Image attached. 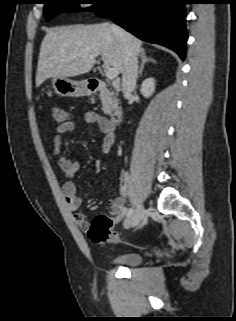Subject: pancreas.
I'll return each mask as SVG.
<instances>
[{
    "label": "pancreas",
    "instance_id": "1",
    "mask_svg": "<svg viewBox=\"0 0 236 321\" xmlns=\"http://www.w3.org/2000/svg\"><path fill=\"white\" fill-rule=\"evenodd\" d=\"M102 110L105 114H109L118 106L117 93L107 92L101 94Z\"/></svg>",
    "mask_w": 236,
    "mask_h": 321
}]
</instances>
